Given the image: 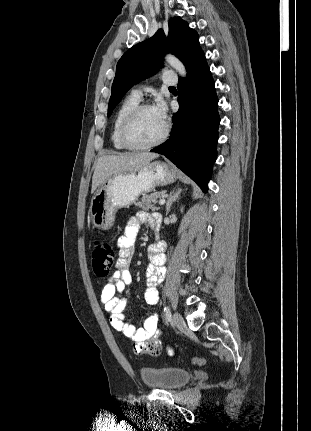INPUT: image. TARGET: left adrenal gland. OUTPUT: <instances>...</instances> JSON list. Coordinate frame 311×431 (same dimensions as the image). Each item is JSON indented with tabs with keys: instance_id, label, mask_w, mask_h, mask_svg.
I'll return each instance as SVG.
<instances>
[{
	"instance_id": "1",
	"label": "left adrenal gland",
	"mask_w": 311,
	"mask_h": 431,
	"mask_svg": "<svg viewBox=\"0 0 311 431\" xmlns=\"http://www.w3.org/2000/svg\"><path fill=\"white\" fill-rule=\"evenodd\" d=\"M181 192H182L181 188H177V192H175V190H173V192H170L169 198H167L166 216H168V214L171 210L172 204H174V202H176V200H178Z\"/></svg>"
}]
</instances>
